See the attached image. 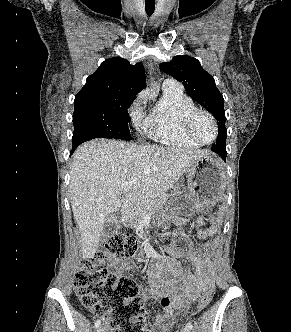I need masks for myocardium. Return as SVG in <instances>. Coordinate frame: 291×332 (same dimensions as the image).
I'll return each mask as SVG.
<instances>
[{
    "mask_svg": "<svg viewBox=\"0 0 291 332\" xmlns=\"http://www.w3.org/2000/svg\"><path fill=\"white\" fill-rule=\"evenodd\" d=\"M199 114H203V115L207 116L213 124L215 134L211 141H208V142L202 141L193 132V122H194L195 117ZM182 126H183V130H184L185 134L192 141L196 142L199 145H209V144L214 143L216 141V139L218 137V133H219L218 124H217V121H216L215 117L213 116V114L210 113L208 110H206L204 108H200V107H193L184 114L183 120H182Z\"/></svg>",
    "mask_w": 291,
    "mask_h": 332,
    "instance_id": "1",
    "label": "myocardium"
}]
</instances>
